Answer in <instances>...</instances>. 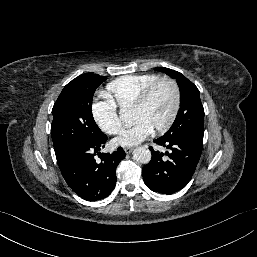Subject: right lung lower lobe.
Here are the masks:
<instances>
[{
    "label": "right lung lower lobe",
    "instance_id": "obj_1",
    "mask_svg": "<svg viewBox=\"0 0 257 257\" xmlns=\"http://www.w3.org/2000/svg\"><path fill=\"white\" fill-rule=\"evenodd\" d=\"M107 141L105 135L91 145H73L56 155L60 171L69 187L81 198L96 201L106 198L116 185V168L125 157L119 147L112 154L100 153ZM99 155L100 162L94 156Z\"/></svg>",
    "mask_w": 257,
    "mask_h": 257
}]
</instances>
